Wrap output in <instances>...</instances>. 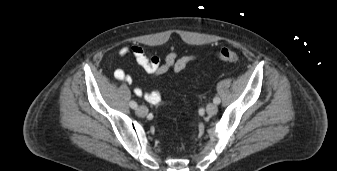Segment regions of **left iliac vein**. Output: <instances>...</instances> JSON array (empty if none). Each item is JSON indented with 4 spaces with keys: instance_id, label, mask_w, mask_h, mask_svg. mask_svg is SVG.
<instances>
[{
    "instance_id": "obj_1",
    "label": "left iliac vein",
    "mask_w": 337,
    "mask_h": 171,
    "mask_svg": "<svg viewBox=\"0 0 337 171\" xmlns=\"http://www.w3.org/2000/svg\"><path fill=\"white\" fill-rule=\"evenodd\" d=\"M218 111V107L216 104L210 103L206 107V112L208 115H215Z\"/></svg>"
}]
</instances>
